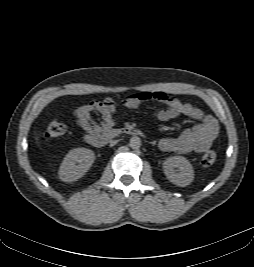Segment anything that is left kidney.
I'll return each instance as SVG.
<instances>
[{
	"label": "left kidney",
	"instance_id": "left-kidney-1",
	"mask_svg": "<svg viewBox=\"0 0 254 267\" xmlns=\"http://www.w3.org/2000/svg\"><path fill=\"white\" fill-rule=\"evenodd\" d=\"M163 170L167 179L177 186L185 187L194 179L193 166L182 156L167 158L163 162Z\"/></svg>",
	"mask_w": 254,
	"mask_h": 267
}]
</instances>
